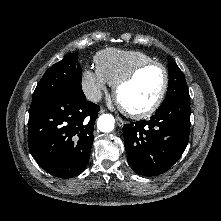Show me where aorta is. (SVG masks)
I'll use <instances>...</instances> for the list:
<instances>
[{"label": "aorta", "instance_id": "1", "mask_svg": "<svg viewBox=\"0 0 221 221\" xmlns=\"http://www.w3.org/2000/svg\"><path fill=\"white\" fill-rule=\"evenodd\" d=\"M115 119L111 114H102L97 121V127L101 132L108 133L114 129Z\"/></svg>", "mask_w": 221, "mask_h": 221}]
</instances>
